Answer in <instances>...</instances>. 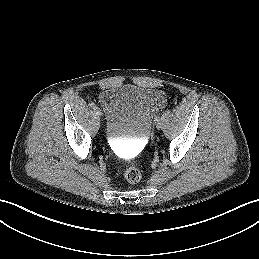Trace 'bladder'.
I'll return each mask as SVG.
<instances>
[{"label":"bladder","instance_id":"obj_1","mask_svg":"<svg viewBox=\"0 0 259 259\" xmlns=\"http://www.w3.org/2000/svg\"><path fill=\"white\" fill-rule=\"evenodd\" d=\"M155 104L153 92L147 90L129 88L108 93L105 105L109 133L146 136Z\"/></svg>","mask_w":259,"mask_h":259}]
</instances>
